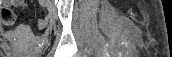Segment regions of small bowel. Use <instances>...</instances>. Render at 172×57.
Instances as JSON below:
<instances>
[{
	"label": "small bowel",
	"instance_id": "c3829d8e",
	"mask_svg": "<svg viewBox=\"0 0 172 57\" xmlns=\"http://www.w3.org/2000/svg\"><path fill=\"white\" fill-rule=\"evenodd\" d=\"M14 2H15V4H22L24 1L16 0V1H14Z\"/></svg>",
	"mask_w": 172,
	"mask_h": 57
}]
</instances>
